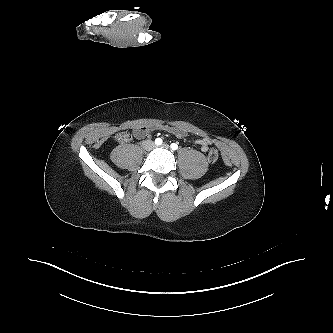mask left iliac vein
<instances>
[{"mask_svg": "<svg viewBox=\"0 0 333 333\" xmlns=\"http://www.w3.org/2000/svg\"><path fill=\"white\" fill-rule=\"evenodd\" d=\"M161 148L169 149V146L167 144H163V145H161Z\"/></svg>", "mask_w": 333, "mask_h": 333, "instance_id": "1", "label": "left iliac vein"}]
</instances>
